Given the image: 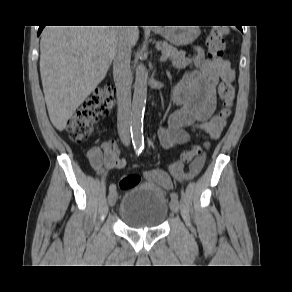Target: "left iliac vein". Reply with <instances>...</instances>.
Returning a JSON list of instances; mask_svg holds the SVG:
<instances>
[{
  "label": "left iliac vein",
  "instance_id": "left-iliac-vein-1",
  "mask_svg": "<svg viewBox=\"0 0 292 292\" xmlns=\"http://www.w3.org/2000/svg\"><path fill=\"white\" fill-rule=\"evenodd\" d=\"M170 209L172 210V212L178 213L179 204H178V201L177 200H171V202H170Z\"/></svg>",
  "mask_w": 292,
  "mask_h": 292
}]
</instances>
